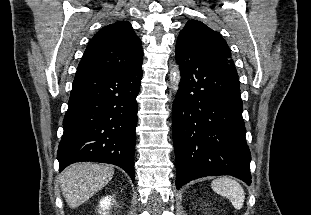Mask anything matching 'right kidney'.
<instances>
[{
	"label": "right kidney",
	"instance_id": "ca27d5eb",
	"mask_svg": "<svg viewBox=\"0 0 311 215\" xmlns=\"http://www.w3.org/2000/svg\"><path fill=\"white\" fill-rule=\"evenodd\" d=\"M112 201L113 199L111 196H106L102 198L99 202V207L101 208V210H103V213L102 211H99V213H102L103 215H108L105 210L109 209V207L112 205Z\"/></svg>",
	"mask_w": 311,
	"mask_h": 215
}]
</instances>
